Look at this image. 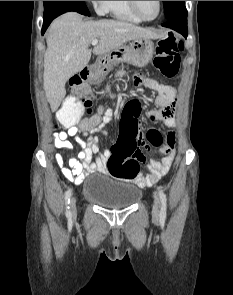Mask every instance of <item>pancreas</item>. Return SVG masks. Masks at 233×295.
Listing matches in <instances>:
<instances>
[{
  "label": "pancreas",
  "instance_id": "cf45deb5",
  "mask_svg": "<svg viewBox=\"0 0 233 295\" xmlns=\"http://www.w3.org/2000/svg\"><path fill=\"white\" fill-rule=\"evenodd\" d=\"M123 75H125V72L123 70H120L116 73V76H119V77H121Z\"/></svg>",
  "mask_w": 233,
  "mask_h": 295
}]
</instances>
